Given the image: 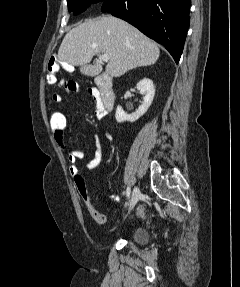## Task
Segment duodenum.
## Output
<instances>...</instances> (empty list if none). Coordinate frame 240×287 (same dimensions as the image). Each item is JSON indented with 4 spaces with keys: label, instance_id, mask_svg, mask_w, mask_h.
Returning <instances> with one entry per match:
<instances>
[{
    "label": "duodenum",
    "instance_id": "obj_1",
    "mask_svg": "<svg viewBox=\"0 0 240 287\" xmlns=\"http://www.w3.org/2000/svg\"><path fill=\"white\" fill-rule=\"evenodd\" d=\"M99 96L104 108L109 111L115 103V94L112 90V79L108 75L99 76L96 79Z\"/></svg>",
    "mask_w": 240,
    "mask_h": 287
}]
</instances>
